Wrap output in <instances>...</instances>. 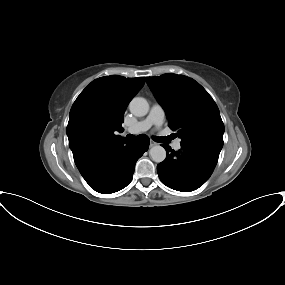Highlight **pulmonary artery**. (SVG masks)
I'll return each instance as SVG.
<instances>
[{
	"label": "pulmonary artery",
	"instance_id": "1",
	"mask_svg": "<svg viewBox=\"0 0 285 285\" xmlns=\"http://www.w3.org/2000/svg\"><path fill=\"white\" fill-rule=\"evenodd\" d=\"M165 118V112L163 108L159 104H154L147 117L139 122H137L134 126L126 129V133L129 134H138L141 132L147 131L152 126L160 127ZM173 148L179 150L181 148V140L176 139L173 142Z\"/></svg>",
	"mask_w": 285,
	"mask_h": 285
}]
</instances>
